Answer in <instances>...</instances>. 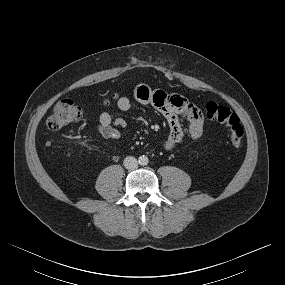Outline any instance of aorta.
<instances>
[{
    "label": "aorta",
    "instance_id": "aorta-1",
    "mask_svg": "<svg viewBox=\"0 0 285 285\" xmlns=\"http://www.w3.org/2000/svg\"><path fill=\"white\" fill-rule=\"evenodd\" d=\"M138 161H139V164L143 165V166H145L149 163L148 157L145 155L140 156Z\"/></svg>",
    "mask_w": 285,
    "mask_h": 285
}]
</instances>
